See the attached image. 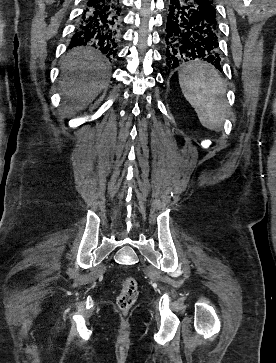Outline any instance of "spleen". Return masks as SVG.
<instances>
[{
    "instance_id": "obj_1",
    "label": "spleen",
    "mask_w": 276,
    "mask_h": 363,
    "mask_svg": "<svg viewBox=\"0 0 276 363\" xmlns=\"http://www.w3.org/2000/svg\"><path fill=\"white\" fill-rule=\"evenodd\" d=\"M179 84L201 124L218 131L225 119L227 100L225 83L217 70L200 61L189 63L179 72Z\"/></svg>"
}]
</instances>
